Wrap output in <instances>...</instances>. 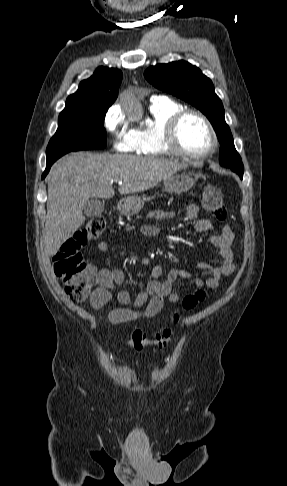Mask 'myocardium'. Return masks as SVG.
Returning <instances> with one entry per match:
<instances>
[{"label":"myocardium","mask_w":287,"mask_h":486,"mask_svg":"<svg viewBox=\"0 0 287 486\" xmlns=\"http://www.w3.org/2000/svg\"><path fill=\"white\" fill-rule=\"evenodd\" d=\"M189 115H195L201 121L205 124L206 128L209 131L210 137H211V145L210 147L202 152H189L185 150L178 141V129L183 121L184 118H186ZM163 142L167 149L178 156H182L185 158H190V159H199V158H205L213 154L217 147H218V136L217 133L208 119V117L202 113L201 111L197 109H182L172 115L168 121L166 122L164 129H163Z\"/></svg>","instance_id":"myocardium-1"}]
</instances>
